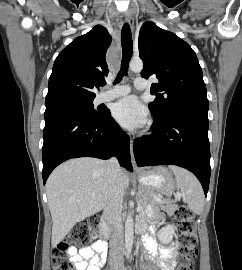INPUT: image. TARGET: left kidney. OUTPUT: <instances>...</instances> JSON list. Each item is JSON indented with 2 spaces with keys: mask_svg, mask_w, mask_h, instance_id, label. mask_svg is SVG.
<instances>
[{
  "mask_svg": "<svg viewBox=\"0 0 242 270\" xmlns=\"http://www.w3.org/2000/svg\"><path fill=\"white\" fill-rule=\"evenodd\" d=\"M175 228L174 225H167L162 228L158 234L159 240L164 244H168L173 239Z\"/></svg>",
  "mask_w": 242,
  "mask_h": 270,
  "instance_id": "5707ae66",
  "label": "left kidney"
}]
</instances>
